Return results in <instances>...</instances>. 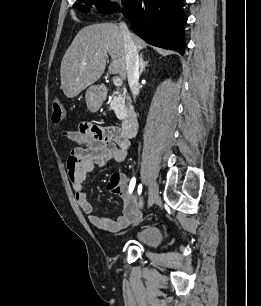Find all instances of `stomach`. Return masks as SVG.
<instances>
[{
  "label": "stomach",
  "instance_id": "stomach-1",
  "mask_svg": "<svg viewBox=\"0 0 261 306\" xmlns=\"http://www.w3.org/2000/svg\"><path fill=\"white\" fill-rule=\"evenodd\" d=\"M85 99L90 111L96 112L100 109L102 105V97L96 86H91L86 90Z\"/></svg>",
  "mask_w": 261,
  "mask_h": 306
}]
</instances>
